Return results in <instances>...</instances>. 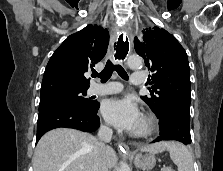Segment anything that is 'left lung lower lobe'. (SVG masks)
Here are the masks:
<instances>
[{
	"instance_id": "0a47b994",
	"label": "left lung lower lobe",
	"mask_w": 223,
	"mask_h": 171,
	"mask_svg": "<svg viewBox=\"0 0 223 171\" xmlns=\"http://www.w3.org/2000/svg\"><path fill=\"white\" fill-rule=\"evenodd\" d=\"M160 136L153 142L163 140H175L184 143H191L190 135V113L171 106L168 107L159 117Z\"/></svg>"
}]
</instances>
